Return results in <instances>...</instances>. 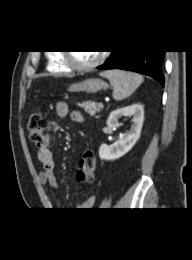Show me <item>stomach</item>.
<instances>
[{
    "instance_id": "stomach-1",
    "label": "stomach",
    "mask_w": 192,
    "mask_h": 260,
    "mask_svg": "<svg viewBox=\"0 0 192 260\" xmlns=\"http://www.w3.org/2000/svg\"><path fill=\"white\" fill-rule=\"evenodd\" d=\"M107 87L106 83L100 79L89 78L79 83H74L69 86L68 91L70 92H86L96 93Z\"/></svg>"
}]
</instances>
